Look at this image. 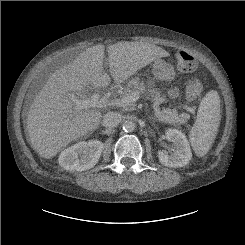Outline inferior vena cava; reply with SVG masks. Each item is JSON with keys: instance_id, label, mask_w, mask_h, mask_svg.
I'll use <instances>...</instances> for the list:
<instances>
[{"instance_id": "1", "label": "inferior vena cava", "mask_w": 245, "mask_h": 245, "mask_svg": "<svg viewBox=\"0 0 245 245\" xmlns=\"http://www.w3.org/2000/svg\"><path fill=\"white\" fill-rule=\"evenodd\" d=\"M122 121L121 114L117 112H108L103 117V125L107 128H114Z\"/></svg>"}]
</instances>
